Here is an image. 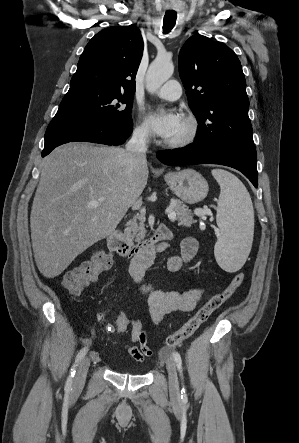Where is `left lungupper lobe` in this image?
Returning <instances> with one entry per match:
<instances>
[{
  "instance_id": "obj_1",
  "label": "left lung upper lobe",
  "mask_w": 299,
  "mask_h": 443,
  "mask_svg": "<svg viewBox=\"0 0 299 443\" xmlns=\"http://www.w3.org/2000/svg\"><path fill=\"white\" fill-rule=\"evenodd\" d=\"M179 74L199 124L196 144L254 145L246 81L233 50L221 42L194 35L180 51Z\"/></svg>"
}]
</instances>
